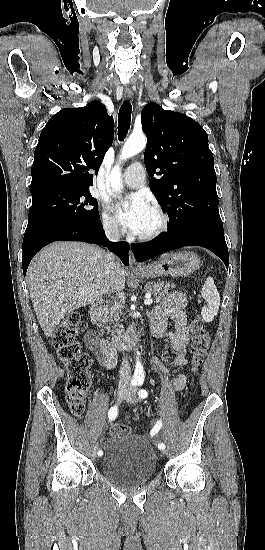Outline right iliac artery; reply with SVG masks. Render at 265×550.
Masks as SVG:
<instances>
[{"mask_svg":"<svg viewBox=\"0 0 265 550\" xmlns=\"http://www.w3.org/2000/svg\"><path fill=\"white\" fill-rule=\"evenodd\" d=\"M136 381H137L136 379H133V380L131 381V385H132V386L136 385ZM117 415H118V407H117V406L111 407L110 410H109V412H108V418H109V420H110V421L115 420V418L117 417ZM101 453H102L101 451L98 452V454H101Z\"/></svg>","mask_w":265,"mask_h":550,"instance_id":"1","label":"right iliac artery"}]
</instances>
